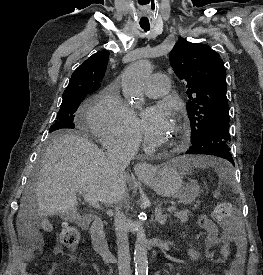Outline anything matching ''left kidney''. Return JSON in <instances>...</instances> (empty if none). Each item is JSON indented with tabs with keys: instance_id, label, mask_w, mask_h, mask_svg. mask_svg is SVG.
<instances>
[{
	"instance_id": "left-kidney-1",
	"label": "left kidney",
	"mask_w": 263,
	"mask_h": 275,
	"mask_svg": "<svg viewBox=\"0 0 263 275\" xmlns=\"http://www.w3.org/2000/svg\"><path fill=\"white\" fill-rule=\"evenodd\" d=\"M188 255L192 260H197L199 258V254L195 252L193 249L188 251Z\"/></svg>"
}]
</instances>
